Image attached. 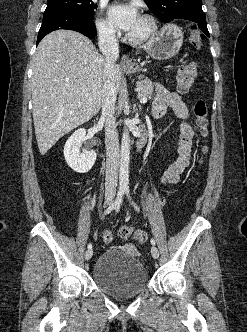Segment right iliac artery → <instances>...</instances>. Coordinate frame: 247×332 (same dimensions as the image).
<instances>
[{"instance_id": "right-iliac-artery-1", "label": "right iliac artery", "mask_w": 247, "mask_h": 332, "mask_svg": "<svg viewBox=\"0 0 247 332\" xmlns=\"http://www.w3.org/2000/svg\"><path fill=\"white\" fill-rule=\"evenodd\" d=\"M123 195H124V191H119L118 195L116 197V200L114 201L113 204H111L105 211H104V215L109 214L110 212H112L113 210H118L120 208V205L122 203L123 200ZM88 250L92 249V244L89 243L87 246Z\"/></svg>"}]
</instances>
